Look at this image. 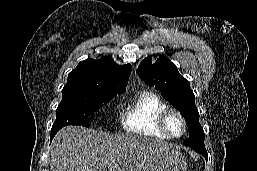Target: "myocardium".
Segmentation results:
<instances>
[{"label": "myocardium", "mask_w": 257, "mask_h": 171, "mask_svg": "<svg viewBox=\"0 0 257 171\" xmlns=\"http://www.w3.org/2000/svg\"><path fill=\"white\" fill-rule=\"evenodd\" d=\"M171 115H176L181 123H182V132L181 134L179 135H174L170 130H169V127H168V119ZM158 125L160 127V129L169 137V138H180L182 137L186 130H187V123H186V120L183 116V114L175 109V108H171V107H168L167 109H165L159 116V119H158Z\"/></svg>", "instance_id": "obj_1"}]
</instances>
